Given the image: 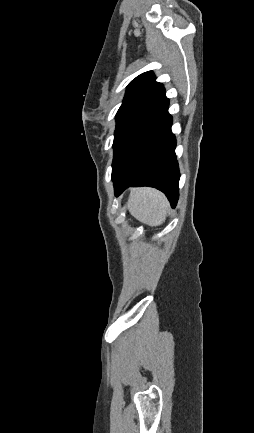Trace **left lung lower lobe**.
Here are the masks:
<instances>
[{
	"label": "left lung lower lobe",
	"instance_id": "0a47b994",
	"mask_svg": "<svg viewBox=\"0 0 254 433\" xmlns=\"http://www.w3.org/2000/svg\"><path fill=\"white\" fill-rule=\"evenodd\" d=\"M168 105L166 98L132 140L119 168L112 175L115 196L130 186H150L164 192L171 206L175 207L180 174Z\"/></svg>",
	"mask_w": 254,
	"mask_h": 433
}]
</instances>
